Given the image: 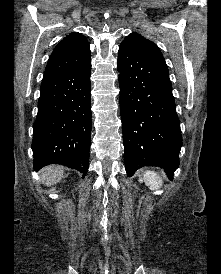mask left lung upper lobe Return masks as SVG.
I'll return each mask as SVG.
<instances>
[{
    "label": "left lung upper lobe",
    "instance_id": "1",
    "mask_svg": "<svg viewBox=\"0 0 221 274\" xmlns=\"http://www.w3.org/2000/svg\"><path fill=\"white\" fill-rule=\"evenodd\" d=\"M122 45H127L132 49L138 51L139 53L149 57L152 60L166 64L165 59L156 44L148 39H145L140 34L131 33L125 40L121 43Z\"/></svg>",
    "mask_w": 221,
    "mask_h": 274
}]
</instances>
